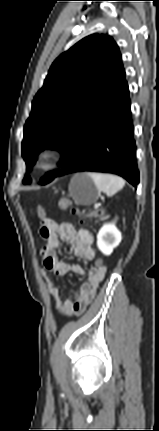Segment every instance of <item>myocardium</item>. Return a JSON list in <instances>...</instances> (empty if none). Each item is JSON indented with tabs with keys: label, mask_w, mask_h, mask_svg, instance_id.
<instances>
[{
	"label": "myocardium",
	"mask_w": 159,
	"mask_h": 431,
	"mask_svg": "<svg viewBox=\"0 0 159 431\" xmlns=\"http://www.w3.org/2000/svg\"><path fill=\"white\" fill-rule=\"evenodd\" d=\"M60 159V152L53 147H44L37 151L35 155V165L42 171H50L57 166Z\"/></svg>",
	"instance_id": "myocardium-1"
}]
</instances>
